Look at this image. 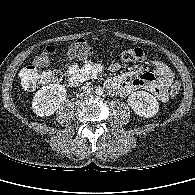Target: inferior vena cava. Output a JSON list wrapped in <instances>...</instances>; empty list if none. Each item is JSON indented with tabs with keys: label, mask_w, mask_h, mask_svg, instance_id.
<instances>
[{
	"label": "inferior vena cava",
	"mask_w": 195,
	"mask_h": 195,
	"mask_svg": "<svg viewBox=\"0 0 195 195\" xmlns=\"http://www.w3.org/2000/svg\"><path fill=\"white\" fill-rule=\"evenodd\" d=\"M93 93V88L91 86H82L80 88V96L81 97H89Z\"/></svg>",
	"instance_id": "602c4592"
}]
</instances>
